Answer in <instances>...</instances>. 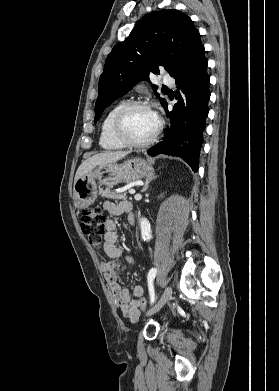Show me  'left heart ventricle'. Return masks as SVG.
I'll return each instance as SVG.
<instances>
[{
    "label": "left heart ventricle",
    "mask_w": 279,
    "mask_h": 391,
    "mask_svg": "<svg viewBox=\"0 0 279 391\" xmlns=\"http://www.w3.org/2000/svg\"><path fill=\"white\" fill-rule=\"evenodd\" d=\"M156 126L157 118L148 108L132 109L124 121L125 133L134 141L148 139L155 131Z\"/></svg>",
    "instance_id": "obj_1"
}]
</instances>
